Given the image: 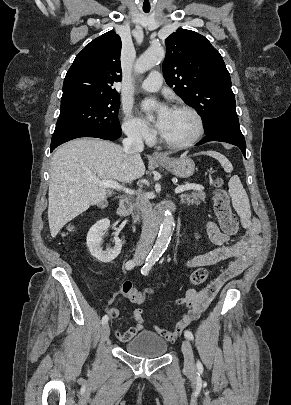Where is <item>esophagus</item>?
Masks as SVG:
<instances>
[{
  "mask_svg": "<svg viewBox=\"0 0 291 405\" xmlns=\"http://www.w3.org/2000/svg\"><path fill=\"white\" fill-rule=\"evenodd\" d=\"M152 158L158 160V159H163L164 156L159 152H153L152 153Z\"/></svg>",
  "mask_w": 291,
  "mask_h": 405,
  "instance_id": "obj_1",
  "label": "esophagus"
}]
</instances>
